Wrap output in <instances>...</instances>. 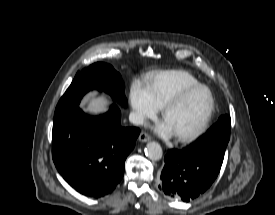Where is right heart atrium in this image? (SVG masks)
Here are the masks:
<instances>
[{"label": "right heart atrium", "instance_id": "right-heart-atrium-1", "mask_svg": "<svg viewBox=\"0 0 275 215\" xmlns=\"http://www.w3.org/2000/svg\"><path fill=\"white\" fill-rule=\"evenodd\" d=\"M130 105L136 123L144 124L154 118L159 108L152 100L148 89L139 82H133L130 90Z\"/></svg>", "mask_w": 275, "mask_h": 215}]
</instances>
